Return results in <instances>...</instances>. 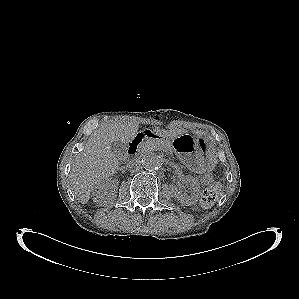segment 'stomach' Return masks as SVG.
Here are the masks:
<instances>
[{
    "instance_id": "0dacf381",
    "label": "stomach",
    "mask_w": 299,
    "mask_h": 299,
    "mask_svg": "<svg viewBox=\"0 0 299 299\" xmlns=\"http://www.w3.org/2000/svg\"><path fill=\"white\" fill-rule=\"evenodd\" d=\"M173 150L180 160L195 171H205L212 166L213 155L206 139H195L192 135L178 136L174 140Z\"/></svg>"
}]
</instances>
